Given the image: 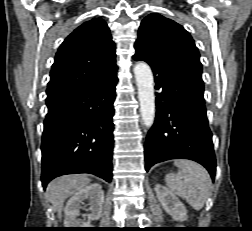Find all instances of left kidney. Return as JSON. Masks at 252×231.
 <instances>
[{"mask_svg":"<svg viewBox=\"0 0 252 231\" xmlns=\"http://www.w3.org/2000/svg\"><path fill=\"white\" fill-rule=\"evenodd\" d=\"M155 191L162 207L174 220L184 221L187 219V209L175 194L160 184L155 186Z\"/></svg>","mask_w":252,"mask_h":231,"instance_id":"left-kidney-1","label":"left kidney"}]
</instances>
